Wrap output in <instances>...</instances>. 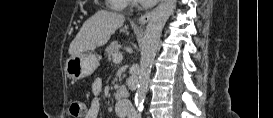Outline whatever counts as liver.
Here are the masks:
<instances>
[{
	"label": "liver",
	"instance_id": "6515ba94",
	"mask_svg": "<svg viewBox=\"0 0 273 118\" xmlns=\"http://www.w3.org/2000/svg\"><path fill=\"white\" fill-rule=\"evenodd\" d=\"M122 14L100 10L84 22L69 46L71 56L105 45L115 31L123 26Z\"/></svg>",
	"mask_w": 273,
	"mask_h": 118
}]
</instances>
